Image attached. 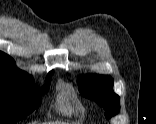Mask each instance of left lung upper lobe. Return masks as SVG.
<instances>
[{
  "label": "left lung upper lobe",
  "instance_id": "1",
  "mask_svg": "<svg viewBox=\"0 0 156 124\" xmlns=\"http://www.w3.org/2000/svg\"><path fill=\"white\" fill-rule=\"evenodd\" d=\"M80 93L105 109L110 118L120 110V97L113 92V79L109 76L86 74L78 78Z\"/></svg>",
  "mask_w": 156,
  "mask_h": 124
}]
</instances>
